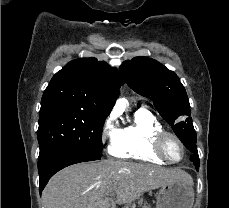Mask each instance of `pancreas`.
<instances>
[{
  "instance_id": "cf45deb5",
  "label": "pancreas",
  "mask_w": 229,
  "mask_h": 208,
  "mask_svg": "<svg viewBox=\"0 0 229 208\" xmlns=\"http://www.w3.org/2000/svg\"><path fill=\"white\" fill-rule=\"evenodd\" d=\"M142 208H150V206H142Z\"/></svg>"
}]
</instances>
